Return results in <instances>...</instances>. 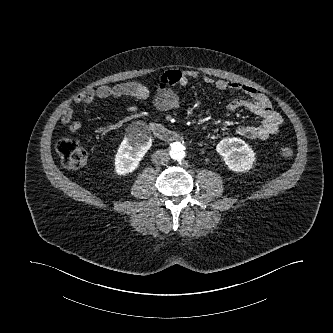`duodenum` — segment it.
<instances>
[{"label":"duodenum","instance_id":"duodenum-1","mask_svg":"<svg viewBox=\"0 0 333 333\" xmlns=\"http://www.w3.org/2000/svg\"><path fill=\"white\" fill-rule=\"evenodd\" d=\"M149 130L160 140L166 142H172L180 139V135L177 132H174L162 124L151 123L149 125Z\"/></svg>","mask_w":333,"mask_h":333}]
</instances>
